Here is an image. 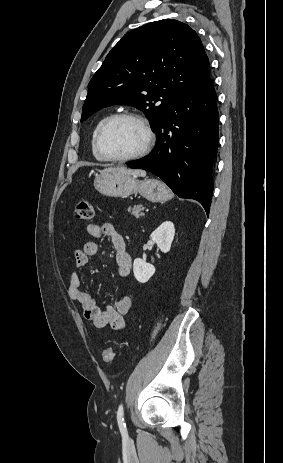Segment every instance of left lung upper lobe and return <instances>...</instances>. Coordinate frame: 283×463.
Returning a JSON list of instances; mask_svg holds the SVG:
<instances>
[{"label": "left lung upper lobe", "mask_w": 283, "mask_h": 463, "mask_svg": "<svg viewBox=\"0 0 283 463\" xmlns=\"http://www.w3.org/2000/svg\"><path fill=\"white\" fill-rule=\"evenodd\" d=\"M208 76V57L194 30L171 19L146 24L124 35L106 56L88 85L81 122L103 107L126 103L142 110L155 131L170 108Z\"/></svg>", "instance_id": "5c2ea615"}]
</instances>
